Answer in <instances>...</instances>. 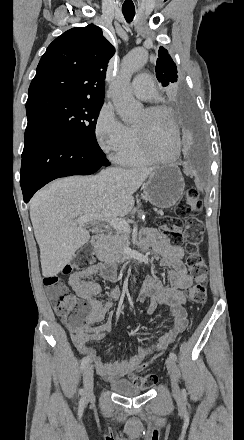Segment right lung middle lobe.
Wrapping results in <instances>:
<instances>
[{
  "mask_svg": "<svg viewBox=\"0 0 244 440\" xmlns=\"http://www.w3.org/2000/svg\"><path fill=\"white\" fill-rule=\"evenodd\" d=\"M103 101L61 96L28 99L27 128H47L96 145L95 126Z\"/></svg>",
  "mask_w": 244,
  "mask_h": 440,
  "instance_id": "dd1d6c3e",
  "label": "right lung middle lobe"
}]
</instances>
